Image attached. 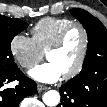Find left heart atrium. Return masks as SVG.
<instances>
[{
  "label": "left heart atrium",
  "mask_w": 107,
  "mask_h": 107,
  "mask_svg": "<svg viewBox=\"0 0 107 107\" xmlns=\"http://www.w3.org/2000/svg\"><path fill=\"white\" fill-rule=\"evenodd\" d=\"M29 75L38 82L51 84L59 81L64 74L55 62L49 61L34 67Z\"/></svg>",
  "instance_id": "left-heart-atrium-1"
}]
</instances>
